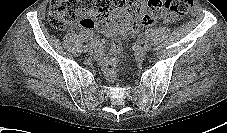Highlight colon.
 Masks as SVG:
<instances>
[{
  "label": "colon",
  "mask_w": 227,
  "mask_h": 133,
  "mask_svg": "<svg viewBox=\"0 0 227 133\" xmlns=\"http://www.w3.org/2000/svg\"><path fill=\"white\" fill-rule=\"evenodd\" d=\"M124 2L125 0H51L49 21L57 30H64L72 25H76L81 30L92 29L95 21L89 14L97 21L104 20ZM192 5V0H148L146 6L138 3L137 0H130L129 8L134 19L133 32L139 26H150L162 18L164 13L174 18L183 16L189 12ZM122 54V40L116 38L112 41L110 53L103 65L104 74L108 79L116 77L117 57Z\"/></svg>",
  "instance_id": "5ec220e1"
}]
</instances>
